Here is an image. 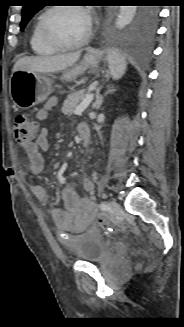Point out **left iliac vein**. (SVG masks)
I'll list each match as a JSON object with an SVG mask.
<instances>
[{
    "mask_svg": "<svg viewBox=\"0 0 184 327\" xmlns=\"http://www.w3.org/2000/svg\"><path fill=\"white\" fill-rule=\"evenodd\" d=\"M110 205H111V210L114 213L117 214V213H119L121 211V207L116 201H111Z\"/></svg>",
    "mask_w": 184,
    "mask_h": 327,
    "instance_id": "4c4485c4",
    "label": "left iliac vein"
}]
</instances>
